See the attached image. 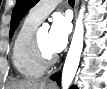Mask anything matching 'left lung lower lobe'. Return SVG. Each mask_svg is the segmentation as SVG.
<instances>
[{
	"mask_svg": "<svg viewBox=\"0 0 107 89\" xmlns=\"http://www.w3.org/2000/svg\"><path fill=\"white\" fill-rule=\"evenodd\" d=\"M51 79L56 81L59 85H60V82H61V73L59 72L58 74L55 73L51 76ZM76 87H72V89H75Z\"/></svg>",
	"mask_w": 107,
	"mask_h": 89,
	"instance_id": "left-lung-lower-lobe-1",
	"label": "left lung lower lobe"
}]
</instances>
